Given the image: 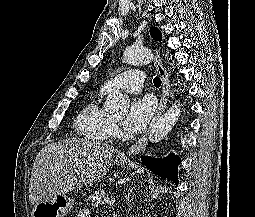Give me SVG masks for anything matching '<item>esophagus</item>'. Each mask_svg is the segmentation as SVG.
<instances>
[{
	"label": "esophagus",
	"mask_w": 255,
	"mask_h": 217,
	"mask_svg": "<svg viewBox=\"0 0 255 217\" xmlns=\"http://www.w3.org/2000/svg\"><path fill=\"white\" fill-rule=\"evenodd\" d=\"M154 66L162 80V95H161L158 109H157L152 121L150 122L149 126L142 134V136L126 152H119L117 155L119 158L127 159L130 156L138 154L140 151H142L146 147L149 129L151 128L153 123L161 116V114L163 113V111L166 108L168 98L170 95V83H169L168 74L162 65L161 59L158 55V52H155V55H154Z\"/></svg>",
	"instance_id": "1"
}]
</instances>
